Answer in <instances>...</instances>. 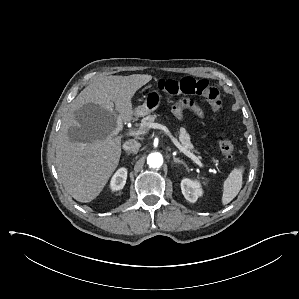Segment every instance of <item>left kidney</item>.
<instances>
[{"label":"left kidney","instance_id":"1","mask_svg":"<svg viewBox=\"0 0 299 299\" xmlns=\"http://www.w3.org/2000/svg\"><path fill=\"white\" fill-rule=\"evenodd\" d=\"M181 190L185 199L191 203L196 202L198 197L202 196L203 194L200 183L197 181H192L188 178H184L181 181Z\"/></svg>","mask_w":299,"mask_h":299}]
</instances>
